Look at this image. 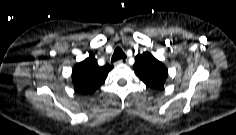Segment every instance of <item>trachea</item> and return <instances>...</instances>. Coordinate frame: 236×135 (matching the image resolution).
I'll use <instances>...</instances> for the list:
<instances>
[{"label": "trachea", "mask_w": 236, "mask_h": 135, "mask_svg": "<svg viewBox=\"0 0 236 135\" xmlns=\"http://www.w3.org/2000/svg\"><path fill=\"white\" fill-rule=\"evenodd\" d=\"M125 57H126V55L124 54V52L122 51V49H121L120 47H116V49H115V51H114V53H113V56H112L111 61H112V62H115V61H117V60H119V59H123V58H125Z\"/></svg>", "instance_id": "3493384b"}]
</instances>
